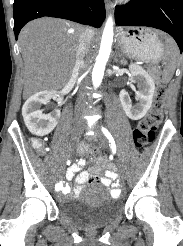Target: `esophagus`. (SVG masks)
<instances>
[{
    "instance_id": "obj_1",
    "label": "esophagus",
    "mask_w": 183,
    "mask_h": 246,
    "mask_svg": "<svg viewBox=\"0 0 183 246\" xmlns=\"http://www.w3.org/2000/svg\"><path fill=\"white\" fill-rule=\"evenodd\" d=\"M104 2H105L107 11H109V9H110V7H111V2H110V0H104Z\"/></svg>"
}]
</instances>
